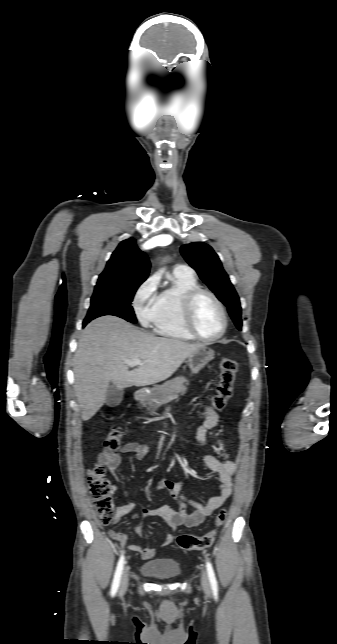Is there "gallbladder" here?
I'll return each instance as SVG.
<instances>
[{
    "mask_svg": "<svg viewBox=\"0 0 337 644\" xmlns=\"http://www.w3.org/2000/svg\"><path fill=\"white\" fill-rule=\"evenodd\" d=\"M123 389H118L114 385H110L106 392V405L109 407L118 406L123 399Z\"/></svg>",
    "mask_w": 337,
    "mask_h": 644,
    "instance_id": "gallbladder-1",
    "label": "gallbladder"
}]
</instances>
